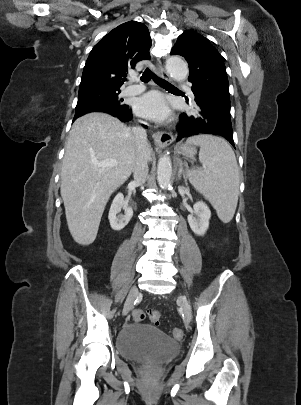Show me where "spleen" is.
Wrapping results in <instances>:
<instances>
[{"instance_id":"1","label":"spleen","mask_w":301,"mask_h":405,"mask_svg":"<svg viewBox=\"0 0 301 405\" xmlns=\"http://www.w3.org/2000/svg\"><path fill=\"white\" fill-rule=\"evenodd\" d=\"M186 142L200 147L203 166L189 174L190 183L210 201L222 222H230L239 191V169L232 148L224 139L211 135L193 136Z\"/></svg>"}]
</instances>
